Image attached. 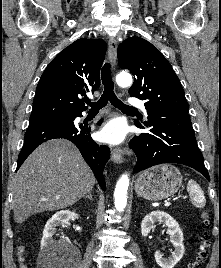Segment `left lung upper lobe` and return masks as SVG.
Listing matches in <instances>:
<instances>
[{"label": "left lung upper lobe", "mask_w": 221, "mask_h": 268, "mask_svg": "<svg viewBox=\"0 0 221 268\" xmlns=\"http://www.w3.org/2000/svg\"><path fill=\"white\" fill-rule=\"evenodd\" d=\"M117 54L119 66L134 75L130 96L146 101V110L189 111L179 78L151 43L130 37L118 46Z\"/></svg>", "instance_id": "obj_1"}]
</instances>
